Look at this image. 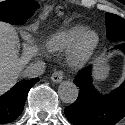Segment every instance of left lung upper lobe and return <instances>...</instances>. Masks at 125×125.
Listing matches in <instances>:
<instances>
[{"instance_id":"5c2ea615","label":"left lung upper lobe","mask_w":125,"mask_h":125,"mask_svg":"<svg viewBox=\"0 0 125 125\" xmlns=\"http://www.w3.org/2000/svg\"><path fill=\"white\" fill-rule=\"evenodd\" d=\"M107 38L114 41H125V19L118 15L106 13Z\"/></svg>"}]
</instances>
